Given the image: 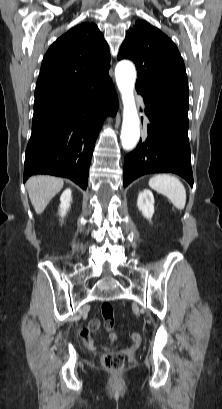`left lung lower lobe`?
I'll list each match as a JSON object with an SVG mask.
<instances>
[{"label": "left lung lower lobe", "instance_id": "1", "mask_svg": "<svg viewBox=\"0 0 222 409\" xmlns=\"http://www.w3.org/2000/svg\"><path fill=\"white\" fill-rule=\"evenodd\" d=\"M148 137L124 160V187L150 173L172 172L193 186L188 141V103L182 99L160 101L144 98Z\"/></svg>", "mask_w": 222, "mask_h": 409}]
</instances>
